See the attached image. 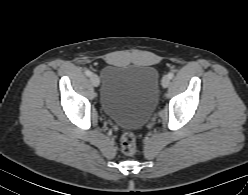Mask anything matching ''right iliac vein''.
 Segmentation results:
<instances>
[{
  "mask_svg": "<svg viewBox=\"0 0 248 195\" xmlns=\"http://www.w3.org/2000/svg\"><path fill=\"white\" fill-rule=\"evenodd\" d=\"M90 81H91L92 85L95 87H97L100 83L98 76L95 74L90 76Z\"/></svg>",
  "mask_w": 248,
  "mask_h": 195,
  "instance_id": "1",
  "label": "right iliac vein"
}]
</instances>
